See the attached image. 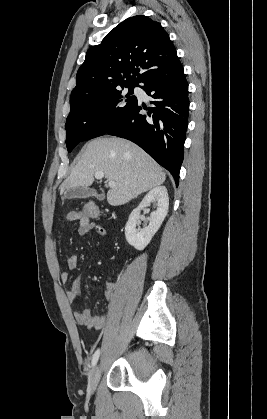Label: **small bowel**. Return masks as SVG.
<instances>
[{"mask_svg": "<svg viewBox=\"0 0 267 419\" xmlns=\"http://www.w3.org/2000/svg\"><path fill=\"white\" fill-rule=\"evenodd\" d=\"M66 221L76 222L78 224L77 232L80 236H83L89 232H94L96 235L104 237L107 234L105 227L96 224L89 219L82 217L80 212L71 211L65 215ZM68 268L74 270L78 266L77 256L69 257L67 261ZM69 280L68 272L60 273V281L66 283ZM79 285L80 278L73 281L70 290L66 292V297L69 302L74 303L79 296ZM115 284L112 281H106L104 285V296L107 300H111L114 294ZM74 320L79 325H84L90 329L100 330L107 323L106 315H93L92 311L88 308L74 312Z\"/></svg>", "mask_w": 267, "mask_h": 419, "instance_id": "small-bowel-1", "label": "small bowel"}]
</instances>
